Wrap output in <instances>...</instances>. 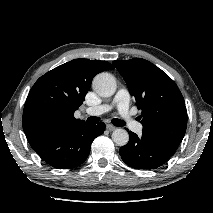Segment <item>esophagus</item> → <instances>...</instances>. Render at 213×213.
Returning a JSON list of instances; mask_svg holds the SVG:
<instances>
[{
    "instance_id": "1",
    "label": "esophagus",
    "mask_w": 213,
    "mask_h": 213,
    "mask_svg": "<svg viewBox=\"0 0 213 213\" xmlns=\"http://www.w3.org/2000/svg\"><path fill=\"white\" fill-rule=\"evenodd\" d=\"M106 129L109 130V131H114L116 129V127L111 125V124H107Z\"/></svg>"
}]
</instances>
